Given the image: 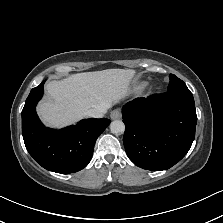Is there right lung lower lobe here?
I'll return each mask as SVG.
<instances>
[{
    "label": "right lung lower lobe",
    "mask_w": 223,
    "mask_h": 223,
    "mask_svg": "<svg viewBox=\"0 0 223 223\" xmlns=\"http://www.w3.org/2000/svg\"><path fill=\"white\" fill-rule=\"evenodd\" d=\"M44 81L33 88L22 110V134L25 146L42 167L56 173H74L90 162L98 136L110 120L85 119L60 130L44 127L35 107L43 96Z\"/></svg>",
    "instance_id": "1"
}]
</instances>
